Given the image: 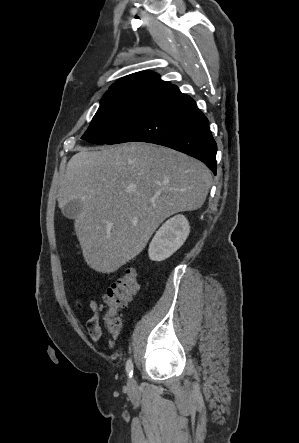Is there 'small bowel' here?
<instances>
[{"instance_id":"c3829d8e","label":"small bowel","mask_w":299,"mask_h":443,"mask_svg":"<svg viewBox=\"0 0 299 443\" xmlns=\"http://www.w3.org/2000/svg\"><path fill=\"white\" fill-rule=\"evenodd\" d=\"M91 308L93 311V315L90 319H88L86 326L90 338L94 342H97L100 340L102 336V329L99 324V307L97 303L91 302Z\"/></svg>"}]
</instances>
